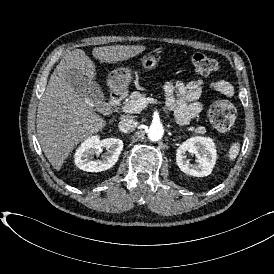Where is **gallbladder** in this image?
<instances>
[{
	"mask_svg": "<svg viewBox=\"0 0 274 274\" xmlns=\"http://www.w3.org/2000/svg\"><path fill=\"white\" fill-rule=\"evenodd\" d=\"M65 80L83 97L84 103L89 106L93 115L102 116L107 112L108 103L104 99V92L88 73L78 67H71L65 73Z\"/></svg>",
	"mask_w": 274,
	"mask_h": 274,
	"instance_id": "1",
	"label": "gallbladder"
}]
</instances>
